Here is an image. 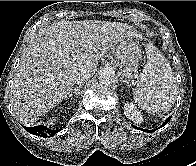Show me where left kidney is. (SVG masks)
<instances>
[{"label":"left kidney","instance_id":"5707ae66","mask_svg":"<svg viewBox=\"0 0 196 166\" xmlns=\"http://www.w3.org/2000/svg\"><path fill=\"white\" fill-rule=\"evenodd\" d=\"M124 114L128 119L133 120L137 124L143 122L141 113L137 110V107L133 103L127 102L124 104Z\"/></svg>","mask_w":196,"mask_h":166}]
</instances>
